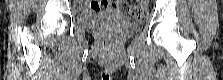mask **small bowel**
Here are the masks:
<instances>
[{"instance_id": "small-bowel-1", "label": "small bowel", "mask_w": 223, "mask_h": 80, "mask_svg": "<svg viewBox=\"0 0 223 80\" xmlns=\"http://www.w3.org/2000/svg\"><path fill=\"white\" fill-rule=\"evenodd\" d=\"M121 2L119 1H107V2H94L90 7L81 6V9L86 12L100 13V12H118Z\"/></svg>"}]
</instances>
